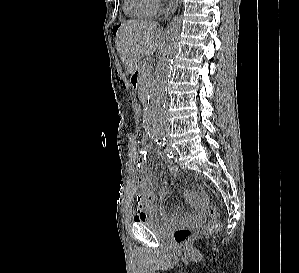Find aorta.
Here are the masks:
<instances>
[{
    "label": "aorta",
    "instance_id": "aorta-1",
    "mask_svg": "<svg viewBox=\"0 0 299 273\" xmlns=\"http://www.w3.org/2000/svg\"><path fill=\"white\" fill-rule=\"evenodd\" d=\"M179 33L180 19L175 16L161 45L159 59L148 94V102L144 110V129L156 141L166 140L169 131V120L165 109V91L171 73V65L177 53Z\"/></svg>",
    "mask_w": 299,
    "mask_h": 273
}]
</instances>
